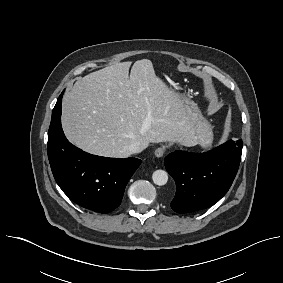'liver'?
<instances>
[{
  "mask_svg": "<svg viewBox=\"0 0 283 283\" xmlns=\"http://www.w3.org/2000/svg\"><path fill=\"white\" fill-rule=\"evenodd\" d=\"M121 62L75 82L62 101L67 138L95 155L127 158L139 142L198 144L194 122L181 97L155 75L148 59Z\"/></svg>",
  "mask_w": 283,
  "mask_h": 283,
  "instance_id": "liver-1",
  "label": "liver"
}]
</instances>
